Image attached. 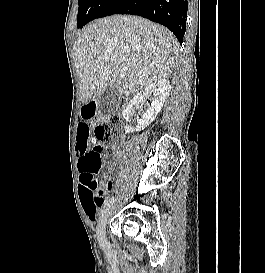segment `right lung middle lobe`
I'll return each mask as SVG.
<instances>
[{"instance_id":"dd1d6c3e","label":"right lung middle lobe","mask_w":265,"mask_h":273,"mask_svg":"<svg viewBox=\"0 0 265 273\" xmlns=\"http://www.w3.org/2000/svg\"><path fill=\"white\" fill-rule=\"evenodd\" d=\"M118 0H78L77 26L82 28L88 22L105 17Z\"/></svg>"}]
</instances>
